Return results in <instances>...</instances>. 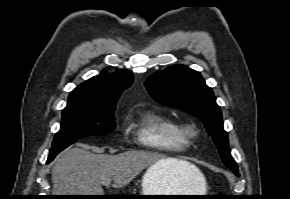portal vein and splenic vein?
Listing matches in <instances>:
<instances>
[{
    "instance_id": "portal-vein-and-splenic-vein-1",
    "label": "portal vein and splenic vein",
    "mask_w": 290,
    "mask_h": 199,
    "mask_svg": "<svg viewBox=\"0 0 290 199\" xmlns=\"http://www.w3.org/2000/svg\"><path fill=\"white\" fill-rule=\"evenodd\" d=\"M102 184H104V185H109V184H110V181H105V182H103Z\"/></svg>"
}]
</instances>
